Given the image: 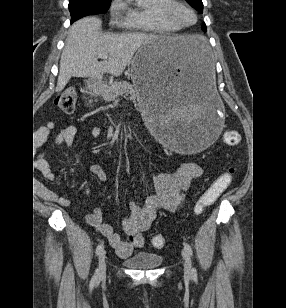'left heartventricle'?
<instances>
[{
    "label": "left heart ventricle",
    "mask_w": 286,
    "mask_h": 308,
    "mask_svg": "<svg viewBox=\"0 0 286 308\" xmlns=\"http://www.w3.org/2000/svg\"><path fill=\"white\" fill-rule=\"evenodd\" d=\"M179 18L181 19L182 22L186 24H191L195 20L194 15L186 9L179 10Z\"/></svg>",
    "instance_id": "b2bd125f"
}]
</instances>
